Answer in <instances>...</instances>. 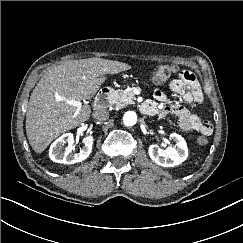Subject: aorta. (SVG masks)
<instances>
[{"mask_svg": "<svg viewBox=\"0 0 243 243\" xmlns=\"http://www.w3.org/2000/svg\"><path fill=\"white\" fill-rule=\"evenodd\" d=\"M123 123L125 126H133L137 123V114L134 111H127L123 115Z\"/></svg>", "mask_w": 243, "mask_h": 243, "instance_id": "1", "label": "aorta"}]
</instances>
